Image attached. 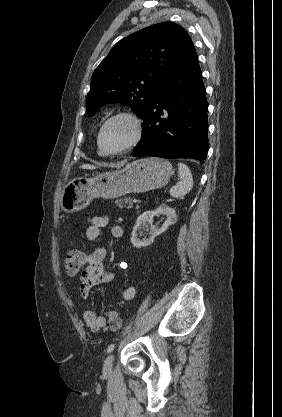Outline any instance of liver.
<instances>
[{"mask_svg": "<svg viewBox=\"0 0 282 417\" xmlns=\"http://www.w3.org/2000/svg\"><path fill=\"white\" fill-rule=\"evenodd\" d=\"M80 168H89V170H93V168H97L94 164H81Z\"/></svg>", "mask_w": 282, "mask_h": 417, "instance_id": "6515ba94", "label": "liver"}]
</instances>
